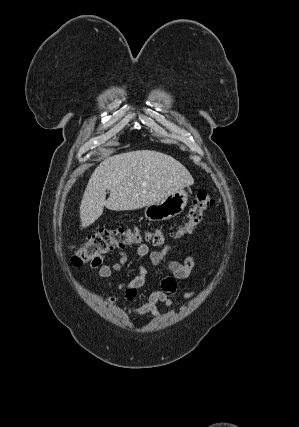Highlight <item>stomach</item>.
Instances as JSON below:
<instances>
[{"mask_svg": "<svg viewBox=\"0 0 299 427\" xmlns=\"http://www.w3.org/2000/svg\"><path fill=\"white\" fill-rule=\"evenodd\" d=\"M188 202V194L183 189L178 190L162 200L145 207V217L149 221H164L172 219L183 212Z\"/></svg>", "mask_w": 299, "mask_h": 427, "instance_id": "1", "label": "stomach"}]
</instances>
